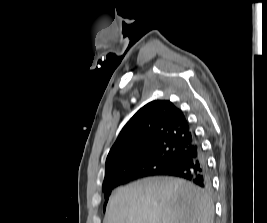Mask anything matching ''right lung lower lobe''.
Instances as JSON below:
<instances>
[{"mask_svg":"<svg viewBox=\"0 0 267 223\" xmlns=\"http://www.w3.org/2000/svg\"><path fill=\"white\" fill-rule=\"evenodd\" d=\"M154 175L179 177L191 181L202 188L209 187L207 162L197 139H195L193 144L186 148L182 155L163 172L150 174L138 170L115 175L104 181L103 191L105 194L111 193L113 188L130 180Z\"/></svg>","mask_w":267,"mask_h":223,"instance_id":"right-lung-lower-lobe-1","label":"right lung lower lobe"}]
</instances>
